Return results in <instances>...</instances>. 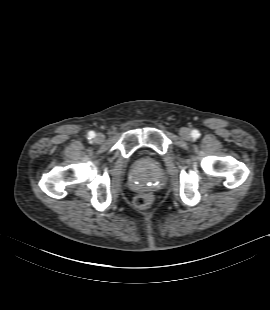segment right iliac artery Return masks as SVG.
<instances>
[{
    "label": "right iliac artery",
    "mask_w": 270,
    "mask_h": 310,
    "mask_svg": "<svg viewBox=\"0 0 270 310\" xmlns=\"http://www.w3.org/2000/svg\"><path fill=\"white\" fill-rule=\"evenodd\" d=\"M94 136H95V133H94L93 131H90V132L88 133V138H89V139L94 138Z\"/></svg>",
    "instance_id": "right-iliac-artery-1"
}]
</instances>
